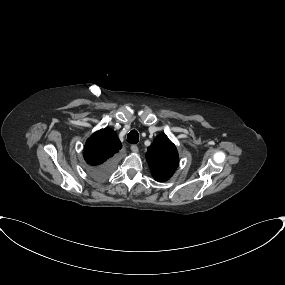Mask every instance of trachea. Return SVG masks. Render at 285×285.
Listing matches in <instances>:
<instances>
[{
	"label": "trachea",
	"mask_w": 285,
	"mask_h": 285,
	"mask_svg": "<svg viewBox=\"0 0 285 285\" xmlns=\"http://www.w3.org/2000/svg\"><path fill=\"white\" fill-rule=\"evenodd\" d=\"M139 141V134L136 130L129 132L127 136V142L130 144H136Z\"/></svg>",
	"instance_id": "3493384b"
}]
</instances>
